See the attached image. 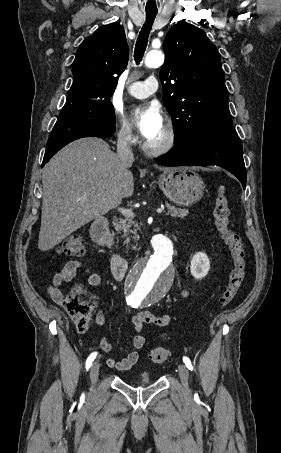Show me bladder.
Here are the masks:
<instances>
[{"label":"bladder","instance_id":"obj_1","mask_svg":"<svg viewBox=\"0 0 281 453\" xmlns=\"http://www.w3.org/2000/svg\"><path fill=\"white\" fill-rule=\"evenodd\" d=\"M139 382L141 384H149L151 382V378L148 374H143L139 377Z\"/></svg>","mask_w":281,"mask_h":453}]
</instances>
